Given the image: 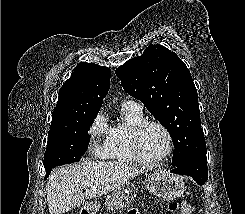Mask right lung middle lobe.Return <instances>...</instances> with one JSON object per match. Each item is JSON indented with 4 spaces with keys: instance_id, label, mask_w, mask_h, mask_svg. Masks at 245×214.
<instances>
[{
    "instance_id": "obj_1",
    "label": "right lung middle lobe",
    "mask_w": 245,
    "mask_h": 214,
    "mask_svg": "<svg viewBox=\"0 0 245 214\" xmlns=\"http://www.w3.org/2000/svg\"><path fill=\"white\" fill-rule=\"evenodd\" d=\"M98 112L81 115L68 129L48 135L47 149L44 155V167L47 178L52 168L78 162L89 145L88 131Z\"/></svg>"
}]
</instances>
